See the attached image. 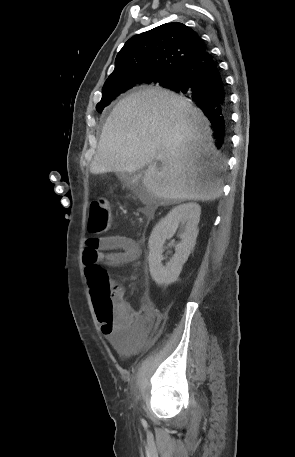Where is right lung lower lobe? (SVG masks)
<instances>
[{"label": "right lung lower lobe", "mask_w": 295, "mask_h": 457, "mask_svg": "<svg viewBox=\"0 0 295 457\" xmlns=\"http://www.w3.org/2000/svg\"><path fill=\"white\" fill-rule=\"evenodd\" d=\"M166 88L194 101L210 120L215 132V145L223 150L227 145L229 98L219 66L207 51L185 63L175 80Z\"/></svg>", "instance_id": "obj_1"}]
</instances>
